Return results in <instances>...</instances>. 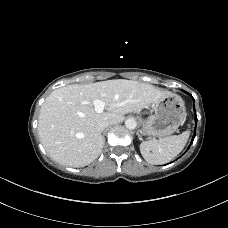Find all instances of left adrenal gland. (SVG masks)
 I'll return each mask as SVG.
<instances>
[{
	"instance_id": "obj_1",
	"label": "left adrenal gland",
	"mask_w": 228,
	"mask_h": 228,
	"mask_svg": "<svg viewBox=\"0 0 228 228\" xmlns=\"http://www.w3.org/2000/svg\"><path fill=\"white\" fill-rule=\"evenodd\" d=\"M137 135H138V138L140 139V133L139 132H137Z\"/></svg>"
}]
</instances>
